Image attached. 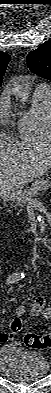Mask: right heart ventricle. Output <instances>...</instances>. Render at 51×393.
<instances>
[{"mask_svg":"<svg viewBox=\"0 0 51 393\" xmlns=\"http://www.w3.org/2000/svg\"><path fill=\"white\" fill-rule=\"evenodd\" d=\"M20 139L26 143L48 144L51 141V89L38 86L31 107L18 119Z\"/></svg>","mask_w":51,"mask_h":393,"instance_id":"obj_1","label":"right heart ventricle"}]
</instances>
